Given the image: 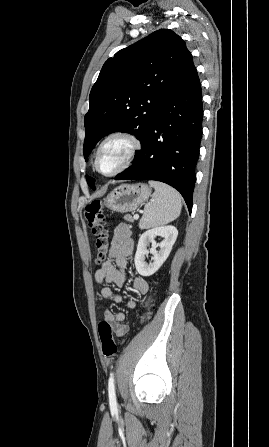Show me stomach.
<instances>
[{
  "instance_id": "0dacf381",
  "label": "stomach",
  "mask_w": 269,
  "mask_h": 447,
  "mask_svg": "<svg viewBox=\"0 0 269 447\" xmlns=\"http://www.w3.org/2000/svg\"><path fill=\"white\" fill-rule=\"evenodd\" d=\"M151 196V188L146 184L135 186H119L104 200V206L113 212H133L140 204L147 202Z\"/></svg>"
}]
</instances>
